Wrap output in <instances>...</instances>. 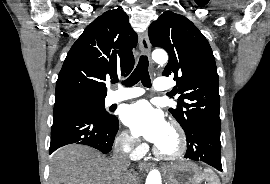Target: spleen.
Listing matches in <instances>:
<instances>
[{"mask_svg":"<svg viewBox=\"0 0 270 184\" xmlns=\"http://www.w3.org/2000/svg\"><path fill=\"white\" fill-rule=\"evenodd\" d=\"M204 175L206 177V180L208 181V184H221L219 179L211 169H205Z\"/></svg>","mask_w":270,"mask_h":184,"instance_id":"spleen-1","label":"spleen"}]
</instances>
